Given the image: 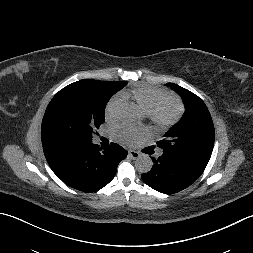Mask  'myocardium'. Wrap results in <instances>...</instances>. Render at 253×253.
<instances>
[{
    "instance_id": "f54148a6",
    "label": "myocardium",
    "mask_w": 253,
    "mask_h": 253,
    "mask_svg": "<svg viewBox=\"0 0 253 253\" xmlns=\"http://www.w3.org/2000/svg\"><path fill=\"white\" fill-rule=\"evenodd\" d=\"M183 114L181 102L173 96L162 98L148 113L151 122L160 130H167L175 125Z\"/></svg>"
}]
</instances>
